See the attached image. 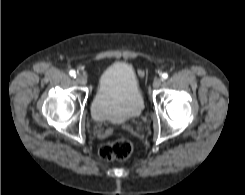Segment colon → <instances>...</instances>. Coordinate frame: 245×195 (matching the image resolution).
<instances>
[{"mask_svg":"<svg viewBox=\"0 0 245 195\" xmlns=\"http://www.w3.org/2000/svg\"><path fill=\"white\" fill-rule=\"evenodd\" d=\"M133 151V143L129 137L123 136L113 142L102 145L99 156L107 161L126 159Z\"/></svg>","mask_w":245,"mask_h":195,"instance_id":"5ec220e1","label":"colon"}]
</instances>
